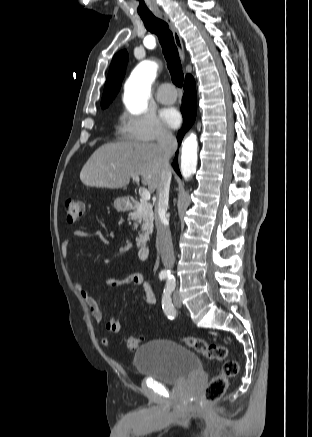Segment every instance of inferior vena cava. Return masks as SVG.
<instances>
[{
  "label": "inferior vena cava",
  "mask_w": 312,
  "mask_h": 437,
  "mask_svg": "<svg viewBox=\"0 0 312 437\" xmlns=\"http://www.w3.org/2000/svg\"><path fill=\"white\" fill-rule=\"evenodd\" d=\"M158 152L161 165L157 186V205L155 207V224L160 242V253L165 268L172 269L175 262L172 237L167 218L171 170L169 160L177 149V140L173 134L162 129L158 137Z\"/></svg>",
  "instance_id": "602c4592"
}]
</instances>
